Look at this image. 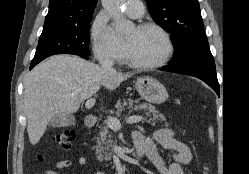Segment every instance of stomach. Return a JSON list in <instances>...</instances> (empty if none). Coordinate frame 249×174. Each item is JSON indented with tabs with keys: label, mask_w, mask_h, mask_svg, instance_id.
<instances>
[{
	"label": "stomach",
	"mask_w": 249,
	"mask_h": 174,
	"mask_svg": "<svg viewBox=\"0 0 249 174\" xmlns=\"http://www.w3.org/2000/svg\"><path fill=\"white\" fill-rule=\"evenodd\" d=\"M135 87L143 99L150 103L161 104L168 98L164 85L152 77L138 78Z\"/></svg>",
	"instance_id": "stomach-1"
}]
</instances>
